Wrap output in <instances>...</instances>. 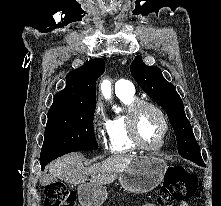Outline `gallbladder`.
I'll use <instances>...</instances> for the list:
<instances>
[{"instance_id":"obj_1","label":"gallbladder","mask_w":221,"mask_h":206,"mask_svg":"<svg viewBox=\"0 0 221 206\" xmlns=\"http://www.w3.org/2000/svg\"><path fill=\"white\" fill-rule=\"evenodd\" d=\"M50 182H53V179H49L48 181H42V182H41V185H42V186H49V185H50Z\"/></svg>"}]
</instances>
